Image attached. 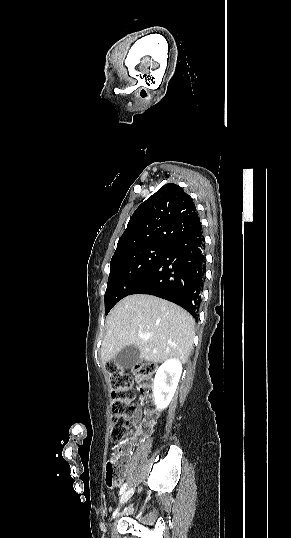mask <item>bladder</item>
<instances>
[{
    "label": "bladder",
    "mask_w": 291,
    "mask_h": 538,
    "mask_svg": "<svg viewBox=\"0 0 291 538\" xmlns=\"http://www.w3.org/2000/svg\"><path fill=\"white\" fill-rule=\"evenodd\" d=\"M128 502H129V498H127V499H125L123 501H121L119 499L117 504H116V507H115L114 511L117 510V513L121 512Z\"/></svg>",
    "instance_id": "1"
}]
</instances>
